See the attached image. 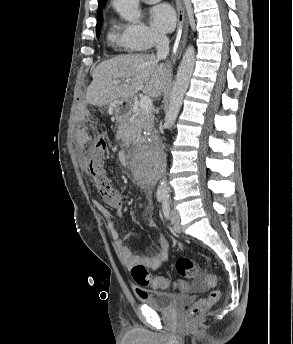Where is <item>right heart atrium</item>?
Returning a JSON list of instances; mask_svg holds the SVG:
<instances>
[{
  "label": "right heart atrium",
  "mask_w": 293,
  "mask_h": 344,
  "mask_svg": "<svg viewBox=\"0 0 293 344\" xmlns=\"http://www.w3.org/2000/svg\"><path fill=\"white\" fill-rule=\"evenodd\" d=\"M118 29L122 44L129 51H145L163 40V36L140 21L121 23Z\"/></svg>",
  "instance_id": "d8ad5b80"
}]
</instances>
